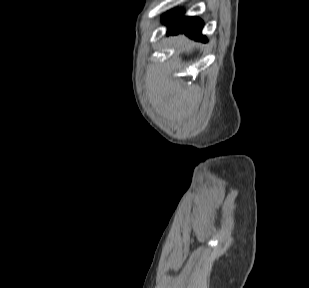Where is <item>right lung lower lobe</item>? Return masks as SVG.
I'll list each match as a JSON object with an SVG mask.
<instances>
[{
    "label": "right lung lower lobe",
    "mask_w": 309,
    "mask_h": 288,
    "mask_svg": "<svg viewBox=\"0 0 309 288\" xmlns=\"http://www.w3.org/2000/svg\"><path fill=\"white\" fill-rule=\"evenodd\" d=\"M163 22L168 26V35L184 33L198 41L206 42L207 39L201 34L203 22L197 17H185L182 11L170 12Z\"/></svg>",
    "instance_id": "right-lung-lower-lobe-1"
}]
</instances>
